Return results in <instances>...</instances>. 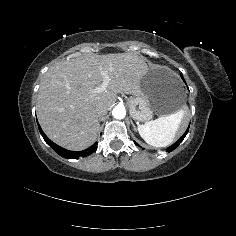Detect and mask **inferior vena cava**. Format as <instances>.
Listing matches in <instances>:
<instances>
[{
	"label": "inferior vena cava",
	"instance_id": "602c4592",
	"mask_svg": "<svg viewBox=\"0 0 236 236\" xmlns=\"http://www.w3.org/2000/svg\"><path fill=\"white\" fill-rule=\"evenodd\" d=\"M102 115H105V114L99 108L96 109L95 116L98 118V117H101Z\"/></svg>",
	"mask_w": 236,
	"mask_h": 236
}]
</instances>
